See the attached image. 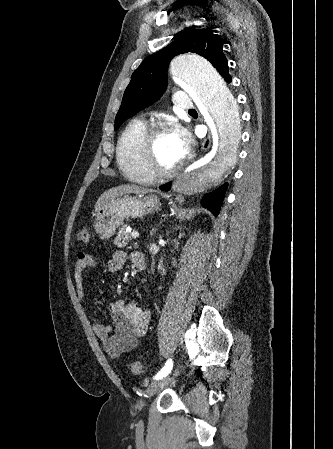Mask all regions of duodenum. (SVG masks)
<instances>
[{
    "mask_svg": "<svg viewBox=\"0 0 333 449\" xmlns=\"http://www.w3.org/2000/svg\"><path fill=\"white\" fill-rule=\"evenodd\" d=\"M132 262L138 270H144L146 267L144 255L140 252L132 254Z\"/></svg>",
    "mask_w": 333,
    "mask_h": 449,
    "instance_id": "1",
    "label": "duodenum"
}]
</instances>
